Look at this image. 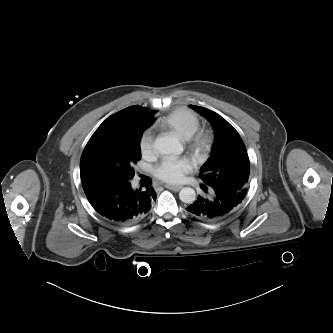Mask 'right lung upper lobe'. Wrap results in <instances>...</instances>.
Listing matches in <instances>:
<instances>
[{"label":"right lung upper lobe","mask_w":333,"mask_h":333,"mask_svg":"<svg viewBox=\"0 0 333 333\" xmlns=\"http://www.w3.org/2000/svg\"><path fill=\"white\" fill-rule=\"evenodd\" d=\"M135 107H138V110L140 111V113L146 117L147 119H150L152 120V123H153V116H154V113H156L155 111H152V112H149L147 108H144V107H140V106H135ZM151 123V124H152Z\"/></svg>","instance_id":"obj_1"}]
</instances>
